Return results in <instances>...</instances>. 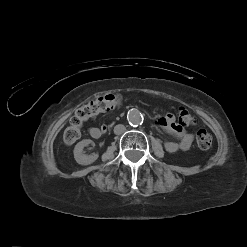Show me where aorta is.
<instances>
[{"label": "aorta", "instance_id": "aorta-1", "mask_svg": "<svg viewBox=\"0 0 247 247\" xmlns=\"http://www.w3.org/2000/svg\"><path fill=\"white\" fill-rule=\"evenodd\" d=\"M127 119L131 126H138L143 122V116L137 109L129 110Z\"/></svg>", "mask_w": 247, "mask_h": 247}]
</instances>
